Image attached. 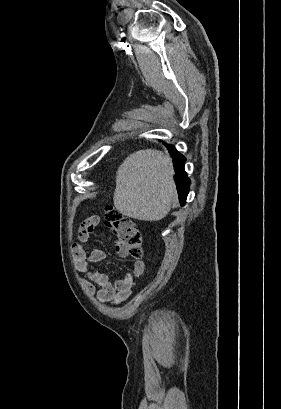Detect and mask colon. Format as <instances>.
<instances>
[{"mask_svg": "<svg viewBox=\"0 0 281 409\" xmlns=\"http://www.w3.org/2000/svg\"><path fill=\"white\" fill-rule=\"evenodd\" d=\"M105 224L115 234L116 240L130 255H142V235L140 228L130 216L118 210L105 208Z\"/></svg>", "mask_w": 281, "mask_h": 409, "instance_id": "colon-1", "label": "colon"}]
</instances>
